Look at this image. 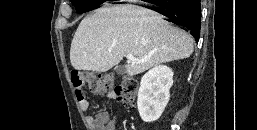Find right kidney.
<instances>
[{"label": "right kidney", "mask_w": 257, "mask_h": 130, "mask_svg": "<svg viewBox=\"0 0 257 130\" xmlns=\"http://www.w3.org/2000/svg\"><path fill=\"white\" fill-rule=\"evenodd\" d=\"M172 84L173 71L165 65L152 68L141 78L137 107L144 122L156 121L161 116L169 101Z\"/></svg>", "instance_id": "right-kidney-1"}]
</instances>
